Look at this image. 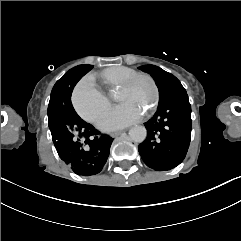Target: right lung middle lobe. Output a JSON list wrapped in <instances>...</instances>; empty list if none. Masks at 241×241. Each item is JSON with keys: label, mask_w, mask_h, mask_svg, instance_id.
<instances>
[{"label": "right lung middle lobe", "mask_w": 241, "mask_h": 241, "mask_svg": "<svg viewBox=\"0 0 241 241\" xmlns=\"http://www.w3.org/2000/svg\"><path fill=\"white\" fill-rule=\"evenodd\" d=\"M77 67L70 69L63 75L56 82L51 92L48 105V123L53 141L59 132L61 124L65 123L68 119L78 117L71 104L72 89L69 88V81Z\"/></svg>", "instance_id": "right-lung-middle-lobe-1"}]
</instances>
